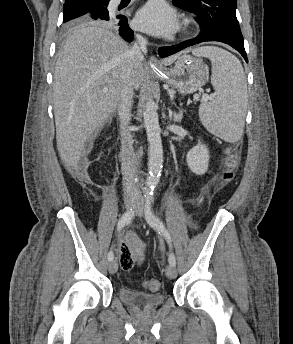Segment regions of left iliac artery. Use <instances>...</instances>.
I'll list each match as a JSON object with an SVG mask.
<instances>
[{"mask_svg":"<svg viewBox=\"0 0 293 344\" xmlns=\"http://www.w3.org/2000/svg\"><path fill=\"white\" fill-rule=\"evenodd\" d=\"M144 211H145L146 221L148 222V224L152 228H154L156 231L163 234L164 237L166 238L168 244L171 246L170 234L166 230L162 221L152 211V197L146 198ZM168 261H169L170 265H172L174 267L176 266V259H175V256L173 255V253H170Z\"/></svg>","mask_w":293,"mask_h":344,"instance_id":"1","label":"left iliac artery"}]
</instances>
